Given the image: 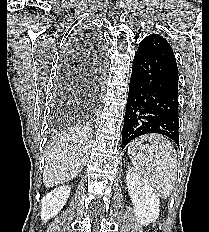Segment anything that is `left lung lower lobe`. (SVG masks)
<instances>
[{
  "label": "left lung lower lobe",
  "mask_w": 209,
  "mask_h": 232,
  "mask_svg": "<svg viewBox=\"0 0 209 232\" xmlns=\"http://www.w3.org/2000/svg\"><path fill=\"white\" fill-rule=\"evenodd\" d=\"M178 68L169 43L146 37L134 56L122 132V149L133 139L157 133L179 145Z\"/></svg>",
  "instance_id": "1"
}]
</instances>
